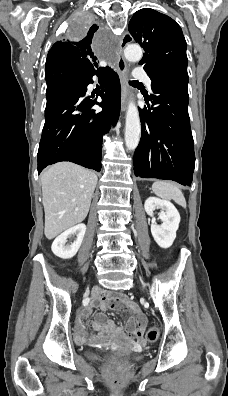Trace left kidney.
Here are the masks:
<instances>
[{
    "label": "left kidney",
    "instance_id": "left-kidney-1",
    "mask_svg": "<svg viewBox=\"0 0 228 396\" xmlns=\"http://www.w3.org/2000/svg\"><path fill=\"white\" fill-rule=\"evenodd\" d=\"M156 208L161 209L159 219L162 221V224H157L154 218V210ZM144 209L152 217L151 233L154 240L161 248H169L176 238V231L180 223L178 210L171 202L155 197H149L145 201Z\"/></svg>",
    "mask_w": 228,
    "mask_h": 396
}]
</instances>
